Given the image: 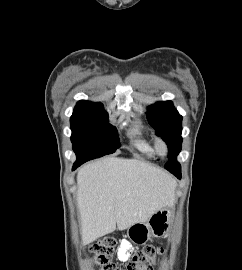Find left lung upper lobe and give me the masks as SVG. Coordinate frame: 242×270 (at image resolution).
I'll return each mask as SVG.
<instances>
[{
	"instance_id": "obj_1",
	"label": "left lung upper lobe",
	"mask_w": 242,
	"mask_h": 270,
	"mask_svg": "<svg viewBox=\"0 0 242 270\" xmlns=\"http://www.w3.org/2000/svg\"><path fill=\"white\" fill-rule=\"evenodd\" d=\"M147 119L168 146L169 161L165 164V168L175 176L181 175V166L176 157L181 151L182 116L171 101H165L149 106Z\"/></svg>"
}]
</instances>
